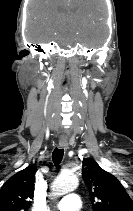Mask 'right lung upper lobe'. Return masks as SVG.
<instances>
[{
	"label": "right lung upper lobe",
	"mask_w": 133,
	"mask_h": 211,
	"mask_svg": "<svg viewBox=\"0 0 133 211\" xmlns=\"http://www.w3.org/2000/svg\"><path fill=\"white\" fill-rule=\"evenodd\" d=\"M36 168L27 167L9 178L0 189V211H28L35 186Z\"/></svg>",
	"instance_id": "cb5924a9"
}]
</instances>
